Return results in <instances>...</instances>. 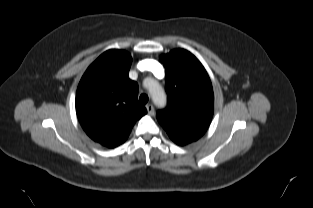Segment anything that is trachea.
Listing matches in <instances>:
<instances>
[{
  "label": "trachea",
  "instance_id": "trachea-1",
  "mask_svg": "<svg viewBox=\"0 0 313 208\" xmlns=\"http://www.w3.org/2000/svg\"><path fill=\"white\" fill-rule=\"evenodd\" d=\"M139 100L142 105H145L148 102V96L146 94H142Z\"/></svg>",
  "mask_w": 313,
  "mask_h": 208
}]
</instances>
